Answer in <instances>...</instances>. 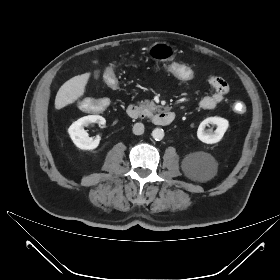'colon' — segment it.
<instances>
[{"label":"colon","instance_id":"colon-1","mask_svg":"<svg viewBox=\"0 0 280 280\" xmlns=\"http://www.w3.org/2000/svg\"><path fill=\"white\" fill-rule=\"evenodd\" d=\"M130 63H141L136 57H130L124 60L112 61L103 71L105 82L112 88L117 86V79L119 76L117 71L119 68ZM155 68L157 71L164 73L167 76H173L176 79L184 82H191L196 77L195 70L187 65L180 64L176 61H159L156 63ZM84 110L97 111L104 106V101L100 99H86L81 102ZM233 110L238 114H243L246 111V106L242 102H236L233 105Z\"/></svg>","mask_w":280,"mask_h":280}]
</instances>
